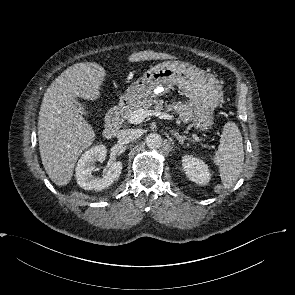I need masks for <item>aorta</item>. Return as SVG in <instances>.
<instances>
[{
	"instance_id": "aorta-1",
	"label": "aorta",
	"mask_w": 295,
	"mask_h": 295,
	"mask_svg": "<svg viewBox=\"0 0 295 295\" xmlns=\"http://www.w3.org/2000/svg\"><path fill=\"white\" fill-rule=\"evenodd\" d=\"M146 144L151 149L159 148L162 144V138L157 133H150L146 137Z\"/></svg>"
}]
</instances>
